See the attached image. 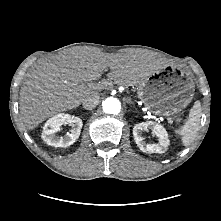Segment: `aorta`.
<instances>
[{
	"label": "aorta",
	"mask_w": 221,
	"mask_h": 221,
	"mask_svg": "<svg viewBox=\"0 0 221 221\" xmlns=\"http://www.w3.org/2000/svg\"><path fill=\"white\" fill-rule=\"evenodd\" d=\"M102 105H103L104 112L109 113V114L116 115L120 112V109H121L120 101L114 97L106 98L103 101Z\"/></svg>",
	"instance_id": "762f6f07"
}]
</instances>
